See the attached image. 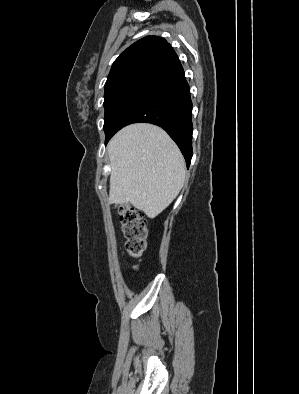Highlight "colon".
Listing matches in <instances>:
<instances>
[{"label":"colon","instance_id":"obj_1","mask_svg":"<svg viewBox=\"0 0 299 394\" xmlns=\"http://www.w3.org/2000/svg\"><path fill=\"white\" fill-rule=\"evenodd\" d=\"M126 238L125 248L132 259H139L146 246V223L142 213L129 205L117 206Z\"/></svg>","mask_w":299,"mask_h":394}]
</instances>
